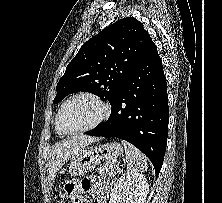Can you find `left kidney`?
<instances>
[{
    "label": "left kidney",
    "mask_w": 222,
    "mask_h": 203,
    "mask_svg": "<svg viewBox=\"0 0 222 203\" xmlns=\"http://www.w3.org/2000/svg\"><path fill=\"white\" fill-rule=\"evenodd\" d=\"M149 184L143 174L127 172L113 185L109 203H144Z\"/></svg>",
    "instance_id": "obj_1"
}]
</instances>
